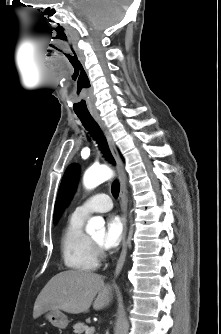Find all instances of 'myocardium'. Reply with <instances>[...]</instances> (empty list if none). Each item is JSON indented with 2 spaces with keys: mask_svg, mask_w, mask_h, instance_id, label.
<instances>
[{
  "mask_svg": "<svg viewBox=\"0 0 221 334\" xmlns=\"http://www.w3.org/2000/svg\"><path fill=\"white\" fill-rule=\"evenodd\" d=\"M93 247L97 253V255H101L102 251H101V245L99 243H97L96 241H94L93 239L91 240Z\"/></svg>",
  "mask_w": 221,
  "mask_h": 334,
  "instance_id": "1",
  "label": "myocardium"
}]
</instances>
